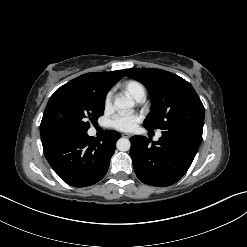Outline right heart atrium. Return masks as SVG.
Returning <instances> with one entry per match:
<instances>
[{"instance_id": "1", "label": "right heart atrium", "mask_w": 247, "mask_h": 247, "mask_svg": "<svg viewBox=\"0 0 247 247\" xmlns=\"http://www.w3.org/2000/svg\"><path fill=\"white\" fill-rule=\"evenodd\" d=\"M111 105V94H108L106 97H105V100H104V106L105 108H109Z\"/></svg>"}]
</instances>
